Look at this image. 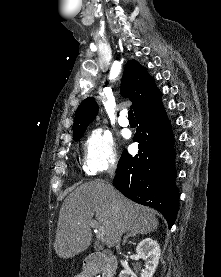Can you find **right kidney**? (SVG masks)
<instances>
[{
  "label": "right kidney",
  "instance_id": "right-kidney-1",
  "mask_svg": "<svg viewBox=\"0 0 221 277\" xmlns=\"http://www.w3.org/2000/svg\"><path fill=\"white\" fill-rule=\"evenodd\" d=\"M137 255L145 261V269L141 277H153L160 258V246L151 239H143L136 247ZM119 277H136L129 268H125L119 274Z\"/></svg>",
  "mask_w": 221,
  "mask_h": 277
}]
</instances>
